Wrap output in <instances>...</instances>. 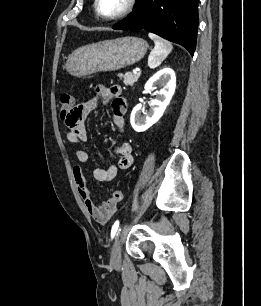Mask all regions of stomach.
Returning a JSON list of instances; mask_svg holds the SVG:
<instances>
[{"label":"stomach","mask_w":261,"mask_h":306,"mask_svg":"<svg viewBox=\"0 0 261 306\" xmlns=\"http://www.w3.org/2000/svg\"><path fill=\"white\" fill-rule=\"evenodd\" d=\"M147 49L148 43L138 37L105 40L76 49L69 56L65 68L77 77L115 71L141 60Z\"/></svg>","instance_id":"stomach-1"}]
</instances>
